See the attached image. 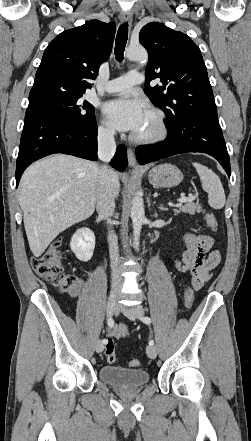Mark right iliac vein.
<instances>
[{"label":"right iliac vein","mask_w":251,"mask_h":441,"mask_svg":"<svg viewBox=\"0 0 251 441\" xmlns=\"http://www.w3.org/2000/svg\"><path fill=\"white\" fill-rule=\"evenodd\" d=\"M117 309V295L112 294L109 296L106 306V314L108 317L113 316ZM96 352L101 353L104 350V344L101 340H98L95 346Z\"/></svg>","instance_id":"1"}]
</instances>
